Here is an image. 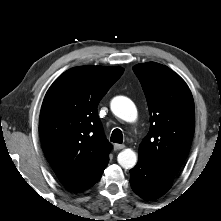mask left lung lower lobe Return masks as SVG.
Instances as JSON below:
<instances>
[{
    "instance_id": "0a47b994",
    "label": "left lung lower lobe",
    "mask_w": 221,
    "mask_h": 221,
    "mask_svg": "<svg viewBox=\"0 0 221 221\" xmlns=\"http://www.w3.org/2000/svg\"><path fill=\"white\" fill-rule=\"evenodd\" d=\"M130 174L133 191L146 200H154L165 194L176 175L143 157H139L137 165L130 170Z\"/></svg>"
}]
</instances>
